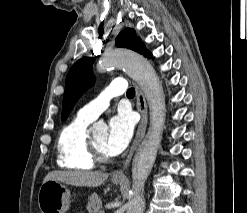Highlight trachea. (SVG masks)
I'll use <instances>...</instances> for the list:
<instances>
[{
  "mask_svg": "<svg viewBox=\"0 0 247 213\" xmlns=\"http://www.w3.org/2000/svg\"><path fill=\"white\" fill-rule=\"evenodd\" d=\"M127 96H130V95H135V89L134 88H129L128 90H127Z\"/></svg>",
  "mask_w": 247,
  "mask_h": 213,
  "instance_id": "obj_1",
  "label": "trachea"
}]
</instances>
